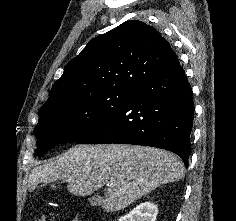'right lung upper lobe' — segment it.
I'll return each mask as SVG.
<instances>
[{
    "label": "right lung upper lobe",
    "mask_w": 236,
    "mask_h": 221,
    "mask_svg": "<svg viewBox=\"0 0 236 221\" xmlns=\"http://www.w3.org/2000/svg\"><path fill=\"white\" fill-rule=\"evenodd\" d=\"M176 60L170 44L154 27L126 21L92 39L68 62L42 108L99 92L134 90Z\"/></svg>",
    "instance_id": "cb5924a9"
}]
</instances>
